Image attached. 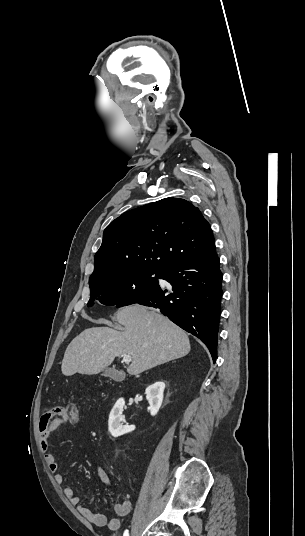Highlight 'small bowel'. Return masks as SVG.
<instances>
[{
    "label": "small bowel",
    "instance_id": "1",
    "mask_svg": "<svg viewBox=\"0 0 305 536\" xmlns=\"http://www.w3.org/2000/svg\"><path fill=\"white\" fill-rule=\"evenodd\" d=\"M65 411L63 408L58 407L55 411H45L43 418L39 419L37 422L38 430L37 433L40 437V447L44 453L45 460L47 462L49 470L54 474V480L57 484L61 485L64 482V477L61 473L58 472V463L55 459L54 454L50 451V434L48 433L50 427H56L58 423H67V418H63ZM83 451V447H79ZM97 474L102 481V483L110 487L111 480L107 473L97 467ZM65 497L69 502L77 508L79 513L84 516L88 521L93 523L98 527H108L110 530H117L120 527V521L117 518L108 519L102 513H99L92 508L83 505L81 503V497L74 493L72 487L67 486L63 490ZM131 510V502L129 500H124L115 505L114 511L118 516H126Z\"/></svg>",
    "mask_w": 305,
    "mask_h": 536
}]
</instances>
